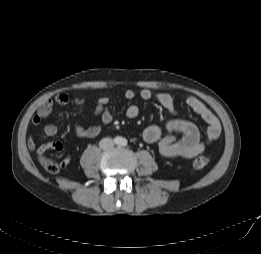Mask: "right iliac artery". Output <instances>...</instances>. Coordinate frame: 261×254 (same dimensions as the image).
I'll use <instances>...</instances> for the list:
<instances>
[{"instance_id":"1","label":"right iliac artery","mask_w":261,"mask_h":254,"mask_svg":"<svg viewBox=\"0 0 261 254\" xmlns=\"http://www.w3.org/2000/svg\"><path fill=\"white\" fill-rule=\"evenodd\" d=\"M114 142H115L116 144H119L120 139H119V138H115V139H114Z\"/></svg>"}]
</instances>
